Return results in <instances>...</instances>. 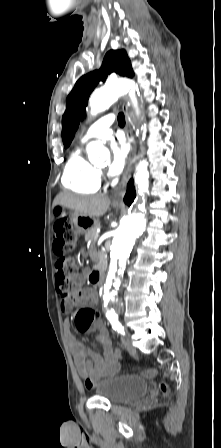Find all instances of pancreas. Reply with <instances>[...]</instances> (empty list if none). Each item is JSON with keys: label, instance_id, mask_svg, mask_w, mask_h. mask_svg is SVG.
<instances>
[{"label": "pancreas", "instance_id": "1", "mask_svg": "<svg viewBox=\"0 0 221 448\" xmlns=\"http://www.w3.org/2000/svg\"><path fill=\"white\" fill-rule=\"evenodd\" d=\"M97 226V223L95 224V226L93 228H91L89 231H87V233L85 234V240L86 241H90L91 244V249L93 252H95V243H96V231L94 230L95 227ZM101 252L98 254V258L100 257Z\"/></svg>", "mask_w": 221, "mask_h": 448}]
</instances>
